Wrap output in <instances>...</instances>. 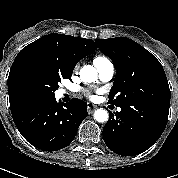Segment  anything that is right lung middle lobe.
I'll return each mask as SVG.
<instances>
[{
  "label": "right lung middle lobe",
  "mask_w": 178,
  "mask_h": 178,
  "mask_svg": "<svg viewBox=\"0 0 178 178\" xmlns=\"http://www.w3.org/2000/svg\"><path fill=\"white\" fill-rule=\"evenodd\" d=\"M72 72L45 56L29 55L15 65L11 85L17 97H53L58 83L70 79Z\"/></svg>",
  "instance_id": "1"
}]
</instances>
